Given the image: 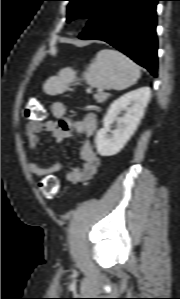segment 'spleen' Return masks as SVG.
<instances>
[{"label":"spleen","mask_w":180,"mask_h":299,"mask_svg":"<svg viewBox=\"0 0 180 299\" xmlns=\"http://www.w3.org/2000/svg\"><path fill=\"white\" fill-rule=\"evenodd\" d=\"M83 77L91 87L124 90L139 79L140 68L123 53L103 49L96 54ZM76 79L73 69L64 68L47 81L45 91L50 95L62 93Z\"/></svg>","instance_id":"obj_1"}]
</instances>
